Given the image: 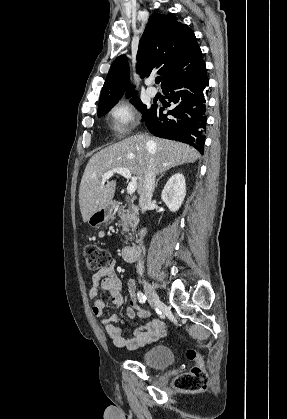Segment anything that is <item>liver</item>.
Segmentation results:
<instances>
[{"label":"liver","mask_w":287,"mask_h":419,"mask_svg":"<svg viewBox=\"0 0 287 419\" xmlns=\"http://www.w3.org/2000/svg\"><path fill=\"white\" fill-rule=\"evenodd\" d=\"M153 143L148 147L147 143ZM200 154L193 147L172 140L137 134L112 144L94 154L85 170L79 187V205L84 222L96 211L108 206L116 190V181L105 184L102 175L115 168H126L137 177L141 192L147 165L154 159L156 174L185 163L195 162Z\"/></svg>","instance_id":"6515ba94"}]
</instances>
